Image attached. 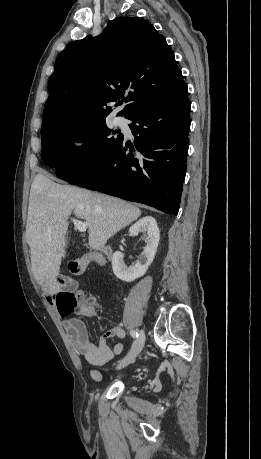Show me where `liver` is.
<instances>
[{"label":"liver","instance_id":"6515ba94","mask_svg":"<svg viewBox=\"0 0 261 459\" xmlns=\"http://www.w3.org/2000/svg\"><path fill=\"white\" fill-rule=\"evenodd\" d=\"M89 228V246L104 247L107 240L141 216V210L116 197L54 182L45 172L32 182L27 242L34 277L49 295L59 291L56 281L66 256L68 218L71 213Z\"/></svg>","mask_w":261,"mask_h":459}]
</instances>
